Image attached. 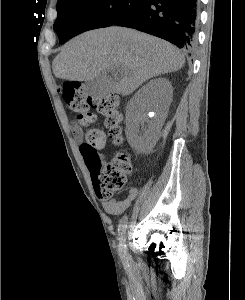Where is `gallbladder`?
Returning <instances> with one entry per match:
<instances>
[{"mask_svg":"<svg viewBox=\"0 0 245 300\" xmlns=\"http://www.w3.org/2000/svg\"><path fill=\"white\" fill-rule=\"evenodd\" d=\"M116 81L107 74H101L98 77L86 81V94L94 99H102L110 93L115 87Z\"/></svg>","mask_w":245,"mask_h":300,"instance_id":"bac80fb5","label":"gallbladder"}]
</instances>
